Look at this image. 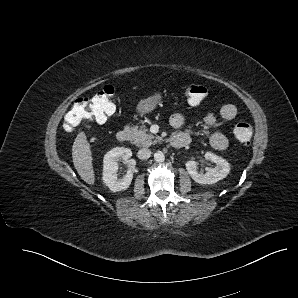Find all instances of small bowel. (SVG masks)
<instances>
[{
  "label": "small bowel",
  "mask_w": 298,
  "mask_h": 298,
  "mask_svg": "<svg viewBox=\"0 0 298 298\" xmlns=\"http://www.w3.org/2000/svg\"><path fill=\"white\" fill-rule=\"evenodd\" d=\"M237 115V108L232 104H225L219 110V117L224 121L233 120ZM205 124L212 128L217 124V116L212 112L205 115ZM169 123L174 128H180L184 124V117L180 113H174L169 118ZM210 144L216 150H225L229 141L225 134L215 131L210 136Z\"/></svg>",
  "instance_id": "1"
}]
</instances>
